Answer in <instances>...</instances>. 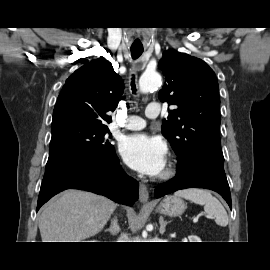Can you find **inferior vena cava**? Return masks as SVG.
<instances>
[{
  "label": "inferior vena cava",
  "mask_w": 270,
  "mask_h": 270,
  "mask_svg": "<svg viewBox=\"0 0 270 270\" xmlns=\"http://www.w3.org/2000/svg\"><path fill=\"white\" fill-rule=\"evenodd\" d=\"M118 242H128V236L126 234H121L118 239Z\"/></svg>",
  "instance_id": "602c4592"
}]
</instances>
